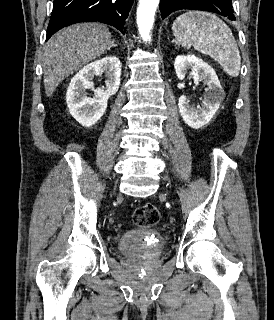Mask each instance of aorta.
<instances>
[{
    "label": "aorta",
    "instance_id": "aorta-1",
    "mask_svg": "<svg viewBox=\"0 0 274 320\" xmlns=\"http://www.w3.org/2000/svg\"><path fill=\"white\" fill-rule=\"evenodd\" d=\"M160 0H139L137 8V26L144 41H151V29L154 24V15Z\"/></svg>",
    "mask_w": 274,
    "mask_h": 320
}]
</instances>
